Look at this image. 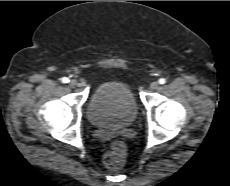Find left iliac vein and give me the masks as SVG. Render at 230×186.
<instances>
[{"label":"left iliac vein","mask_w":230,"mask_h":186,"mask_svg":"<svg viewBox=\"0 0 230 186\" xmlns=\"http://www.w3.org/2000/svg\"><path fill=\"white\" fill-rule=\"evenodd\" d=\"M158 87H159V83L157 81H153L150 84V89H152V90H156Z\"/></svg>","instance_id":"obj_1"}]
</instances>
